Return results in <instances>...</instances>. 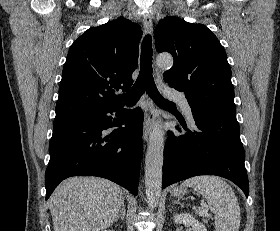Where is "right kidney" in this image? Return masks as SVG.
Instances as JSON below:
<instances>
[{
    "label": "right kidney",
    "mask_w": 280,
    "mask_h": 231,
    "mask_svg": "<svg viewBox=\"0 0 280 231\" xmlns=\"http://www.w3.org/2000/svg\"><path fill=\"white\" fill-rule=\"evenodd\" d=\"M104 231H106V229H104ZM108 231H114V229H108Z\"/></svg>",
    "instance_id": "right-kidney-1"
}]
</instances>
